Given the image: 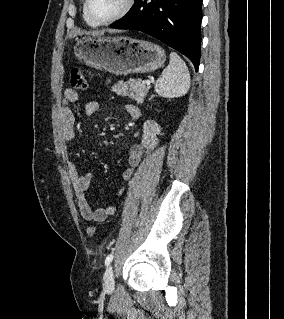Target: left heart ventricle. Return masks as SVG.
Instances as JSON below:
<instances>
[{
  "instance_id": "obj_1",
  "label": "left heart ventricle",
  "mask_w": 284,
  "mask_h": 319,
  "mask_svg": "<svg viewBox=\"0 0 284 319\" xmlns=\"http://www.w3.org/2000/svg\"><path fill=\"white\" fill-rule=\"evenodd\" d=\"M124 0H90L89 11L97 20H107L121 9Z\"/></svg>"
}]
</instances>
